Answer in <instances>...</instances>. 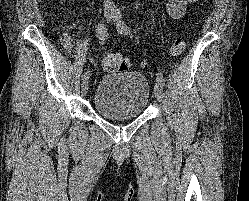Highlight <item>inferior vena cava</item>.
<instances>
[{
    "label": "inferior vena cava",
    "instance_id": "1",
    "mask_svg": "<svg viewBox=\"0 0 249 201\" xmlns=\"http://www.w3.org/2000/svg\"><path fill=\"white\" fill-rule=\"evenodd\" d=\"M104 3H105V7L112 5L111 0H104Z\"/></svg>",
    "mask_w": 249,
    "mask_h": 201
}]
</instances>
